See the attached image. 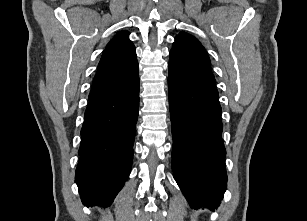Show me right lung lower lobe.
Instances as JSON below:
<instances>
[{
	"label": "right lung lower lobe",
	"instance_id": "obj_1",
	"mask_svg": "<svg viewBox=\"0 0 307 221\" xmlns=\"http://www.w3.org/2000/svg\"><path fill=\"white\" fill-rule=\"evenodd\" d=\"M139 112V77L119 91L89 99L75 182L85 205L110 206L127 180Z\"/></svg>",
	"mask_w": 307,
	"mask_h": 221
}]
</instances>
